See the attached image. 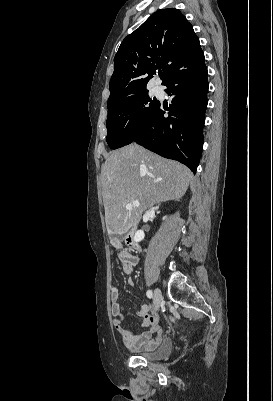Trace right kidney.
<instances>
[{
	"mask_svg": "<svg viewBox=\"0 0 273 401\" xmlns=\"http://www.w3.org/2000/svg\"><path fill=\"white\" fill-rule=\"evenodd\" d=\"M163 219H166V217H163ZM145 235L143 233V231H137V233H135V241L136 243H139V241H142V239H144Z\"/></svg>",
	"mask_w": 273,
	"mask_h": 401,
	"instance_id": "right-kidney-1",
	"label": "right kidney"
}]
</instances>
